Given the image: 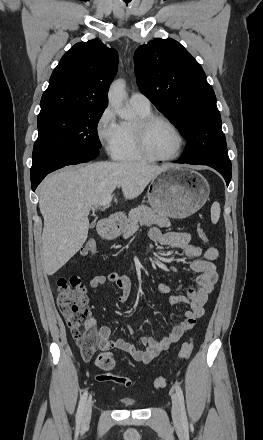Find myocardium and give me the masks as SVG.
I'll list each match as a JSON object with an SVG mask.
<instances>
[{"mask_svg": "<svg viewBox=\"0 0 263 440\" xmlns=\"http://www.w3.org/2000/svg\"><path fill=\"white\" fill-rule=\"evenodd\" d=\"M162 121L168 124L176 133L178 138V148L175 154L171 156L153 155L147 146L146 135L148 129L156 122ZM135 148L137 152L145 159L155 162H169L176 160L183 152L185 147V138L180 128L168 117L159 114H150L145 117H139L132 126Z\"/></svg>", "mask_w": 263, "mask_h": 440, "instance_id": "obj_1", "label": "myocardium"}]
</instances>
